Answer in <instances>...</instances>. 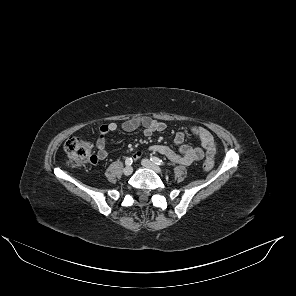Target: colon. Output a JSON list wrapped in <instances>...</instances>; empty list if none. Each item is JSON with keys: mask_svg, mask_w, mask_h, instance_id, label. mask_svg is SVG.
I'll use <instances>...</instances> for the list:
<instances>
[{"mask_svg": "<svg viewBox=\"0 0 296 296\" xmlns=\"http://www.w3.org/2000/svg\"><path fill=\"white\" fill-rule=\"evenodd\" d=\"M65 152L68 157L69 164L73 168H82L88 163H95L96 156L93 153V146L79 137H71L65 143ZM214 166L213 158L208 157L204 164L203 169L210 171Z\"/></svg>", "mask_w": 296, "mask_h": 296, "instance_id": "5ec220e1", "label": "colon"}]
</instances>
